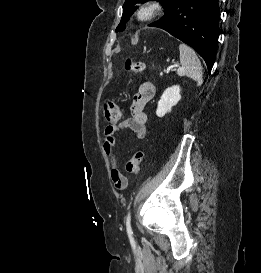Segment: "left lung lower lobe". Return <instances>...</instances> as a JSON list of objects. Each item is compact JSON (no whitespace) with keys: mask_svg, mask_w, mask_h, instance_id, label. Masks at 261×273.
Returning a JSON list of instances; mask_svg holds the SVG:
<instances>
[{"mask_svg":"<svg viewBox=\"0 0 261 273\" xmlns=\"http://www.w3.org/2000/svg\"><path fill=\"white\" fill-rule=\"evenodd\" d=\"M219 16L218 0H175L164 17L150 26L161 28L191 46L210 71L216 57Z\"/></svg>","mask_w":261,"mask_h":273,"instance_id":"1","label":"left lung lower lobe"}]
</instances>
